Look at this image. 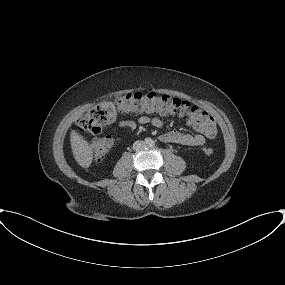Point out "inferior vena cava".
<instances>
[{
  "label": "inferior vena cava",
  "mask_w": 285,
  "mask_h": 285,
  "mask_svg": "<svg viewBox=\"0 0 285 285\" xmlns=\"http://www.w3.org/2000/svg\"><path fill=\"white\" fill-rule=\"evenodd\" d=\"M146 147V144H145V142H143V141H135L134 142V144H133V149L135 150V151H139V150H142V149H144Z\"/></svg>",
  "instance_id": "602c4592"
}]
</instances>
